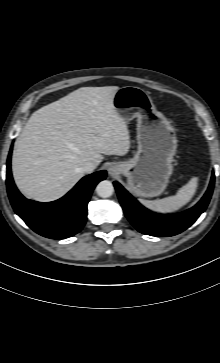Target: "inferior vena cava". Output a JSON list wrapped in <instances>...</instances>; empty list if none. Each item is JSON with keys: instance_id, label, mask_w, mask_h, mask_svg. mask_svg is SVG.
Here are the masks:
<instances>
[{"instance_id": "1", "label": "inferior vena cava", "mask_w": 220, "mask_h": 363, "mask_svg": "<svg viewBox=\"0 0 220 363\" xmlns=\"http://www.w3.org/2000/svg\"><path fill=\"white\" fill-rule=\"evenodd\" d=\"M96 168V164L93 162H86L82 167V171L85 173H91Z\"/></svg>"}]
</instances>
